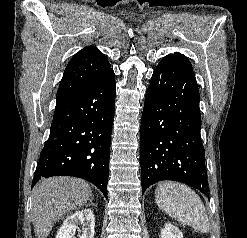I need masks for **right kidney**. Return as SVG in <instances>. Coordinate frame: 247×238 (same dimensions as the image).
Masks as SVG:
<instances>
[{
	"instance_id": "obj_1",
	"label": "right kidney",
	"mask_w": 247,
	"mask_h": 238,
	"mask_svg": "<svg viewBox=\"0 0 247 238\" xmlns=\"http://www.w3.org/2000/svg\"><path fill=\"white\" fill-rule=\"evenodd\" d=\"M79 223L83 225L80 238H94L95 217L93 211L88 208L76 211L67 217L55 238H73Z\"/></svg>"
}]
</instances>
